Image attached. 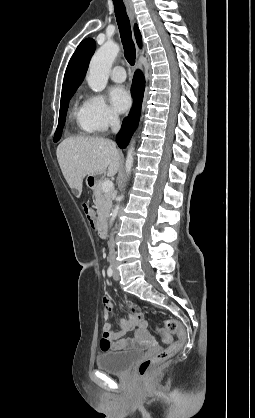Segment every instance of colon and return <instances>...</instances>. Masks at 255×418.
Wrapping results in <instances>:
<instances>
[{"label": "colon", "instance_id": "1", "mask_svg": "<svg viewBox=\"0 0 255 418\" xmlns=\"http://www.w3.org/2000/svg\"><path fill=\"white\" fill-rule=\"evenodd\" d=\"M84 215L91 227L96 225V218L94 212L85 203L82 205ZM162 339L170 344L163 350L159 351L152 357L141 360L137 366V374L141 378L148 377L153 370L176 354L187 340L186 329L174 318L165 320V327L158 330ZM177 336V340L172 341V336Z\"/></svg>", "mask_w": 255, "mask_h": 418}]
</instances>
